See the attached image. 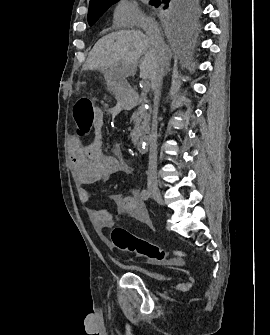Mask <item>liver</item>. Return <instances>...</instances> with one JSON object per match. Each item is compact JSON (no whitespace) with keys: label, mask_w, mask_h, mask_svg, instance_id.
Returning a JSON list of instances; mask_svg holds the SVG:
<instances>
[{"label":"liver","mask_w":270,"mask_h":335,"mask_svg":"<svg viewBox=\"0 0 270 335\" xmlns=\"http://www.w3.org/2000/svg\"><path fill=\"white\" fill-rule=\"evenodd\" d=\"M165 44L153 46L145 34L139 30H119L100 38L88 54L83 70H102L112 66L120 78L135 76L140 56L144 58L139 64L143 80H151L157 70H161L169 60Z\"/></svg>","instance_id":"liver-1"}]
</instances>
